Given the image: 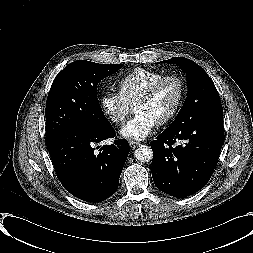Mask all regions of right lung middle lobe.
<instances>
[{
	"instance_id": "right-lung-middle-lobe-1",
	"label": "right lung middle lobe",
	"mask_w": 253,
	"mask_h": 253,
	"mask_svg": "<svg viewBox=\"0 0 253 253\" xmlns=\"http://www.w3.org/2000/svg\"><path fill=\"white\" fill-rule=\"evenodd\" d=\"M122 67L78 60L55 77L46 102L47 146L78 126L109 122L97 99V85Z\"/></svg>"
}]
</instances>
